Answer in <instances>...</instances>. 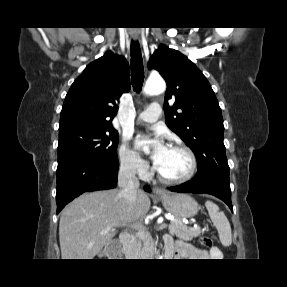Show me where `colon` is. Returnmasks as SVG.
I'll return each mask as SVG.
<instances>
[{
    "label": "colon",
    "instance_id": "5ec220e1",
    "mask_svg": "<svg viewBox=\"0 0 287 287\" xmlns=\"http://www.w3.org/2000/svg\"><path fill=\"white\" fill-rule=\"evenodd\" d=\"M200 243L202 246L211 248L213 245V241L209 236H202L200 238ZM111 248L112 254H117L119 252V246L117 244H112L109 246Z\"/></svg>",
    "mask_w": 287,
    "mask_h": 287
}]
</instances>
